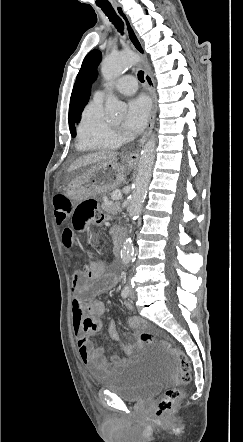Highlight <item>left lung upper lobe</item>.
<instances>
[{"mask_svg": "<svg viewBox=\"0 0 243 442\" xmlns=\"http://www.w3.org/2000/svg\"><path fill=\"white\" fill-rule=\"evenodd\" d=\"M101 52L99 50H92L87 54L85 59L83 60L81 69L78 73L77 80L83 79V87L80 93L79 102L76 111V122L80 121L81 112L83 111L85 105L87 104L90 91L91 84L97 76V66L101 60ZM72 136H75V128L71 131Z\"/></svg>", "mask_w": 243, "mask_h": 442, "instance_id": "5c2ea615", "label": "left lung upper lobe"}]
</instances>
